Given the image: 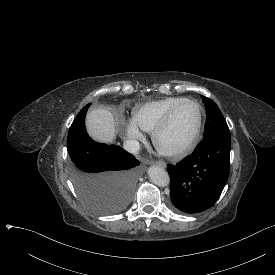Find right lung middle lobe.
I'll return each instance as SVG.
<instances>
[{"label": "right lung middle lobe", "instance_id": "1", "mask_svg": "<svg viewBox=\"0 0 275 275\" xmlns=\"http://www.w3.org/2000/svg\"><path fill=\"white\" fill-rule=\"evenodd\" d=\"M87 104L69 128V173L81 201L93 212L117 214L131 202L142 173L140 161L116 145L93 141L85 127Z\"/></svg>", "mask_w": 275, "mask_h": 275}]
</instances>
